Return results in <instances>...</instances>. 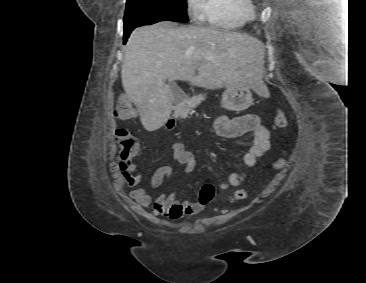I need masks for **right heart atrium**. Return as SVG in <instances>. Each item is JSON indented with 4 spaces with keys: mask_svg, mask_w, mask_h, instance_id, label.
I'll return each instance as SVG.
<instances>
[{
    "mask_svg": "<svg viewBox=\"0 0 366 283\" xmlns=\"http://www.w3.org/2000/svg\"><path fill=\"white\" fill-rule=\"evenodd\" d=\"M204 0H186L188 10L195 18H200Z\"/></svg>",
    "mask_w": 366,
    "mask_h": 283,
    "instance_id": "obj_1",
    "label": "right heart atrium"
}]
</instances>
